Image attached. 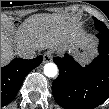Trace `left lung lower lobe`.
<instances>
[{
  "label": "left lung lower lobe",
  "instance_id": "0a47b994",
  "mask_svg": "<svg viewBox=\"0 0 109 109\" xmlns=\"http://www.w3.org/2000/svg\"><path fill=\"white\" fill-rule=\"evenodd\" d=\"M97 37L99 55L86 67L68 54L53 59L59 76L52 83V93L64 109H93L109 98V33Z\"/></svg>",
  "mask_w": 109,
  "mask_h": 109
}]
</instances>
